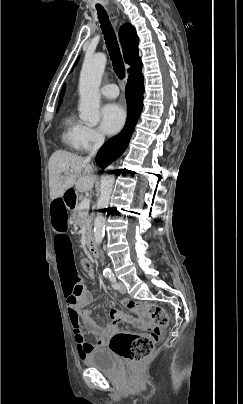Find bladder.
<instances>
[{
  "label": "bladder",
  "mask_w": 243,
  "mask_h": 404,
  "mask_svg": "<svg viewBox=\"0 0 243 404\" xmlns=\"http://www.w3.org/2000/svg\"><path fill=\"white\" fill-rule=\"evenodd\" d=\"M83 362L86 366L105 374H114L119 370V364L113 352L105 347H96L89 351Z\"/></svg>",
  "instance_id": "31cf9c89"
}]
</instances>
